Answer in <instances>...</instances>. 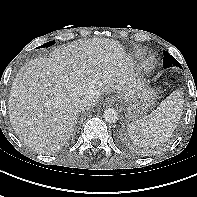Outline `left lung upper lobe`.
I'll return each instance as SVG.
<instances>
[{
  "mask_svg": "<svg viewBox=\"0 0 197 197\" xmlns=\"http://www.w3.org/2000/svg\"><path fill=\"white\" fill-rule=\"evenodd\" d=\"M163 66L165 68L172 67V66H178L182 68L180 63L173 56H171L167 51H164Z\"/></svg>",
  "mask_w": 197,
  "mask_h": 197,
  "instance_id": "obj_1",
  "label": "left lung upper lobe"
}]
</instances>
